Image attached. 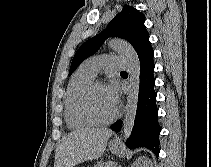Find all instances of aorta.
I'll return each instance as SVG.
<instances>
[{
  "instance_id": "1",
  "label": "aorta",
  "mask_w": 211,
  "mask_h": 167,
  "mask_svg": "<svg viewBox=\"0 0 211 167\" xmlns=\"http://www.w3.org/2000/svg\"><path fill=\"white\" fill-rule=\"evenodd\" d=\"M108 46L117 51L125 59L129 74V93L125 106V118L123 121L124 138H129L137 111L139 82H140V61L134 48L127 42L120 39H113L108 42Z\"/></svg>"
}]
</instances>
